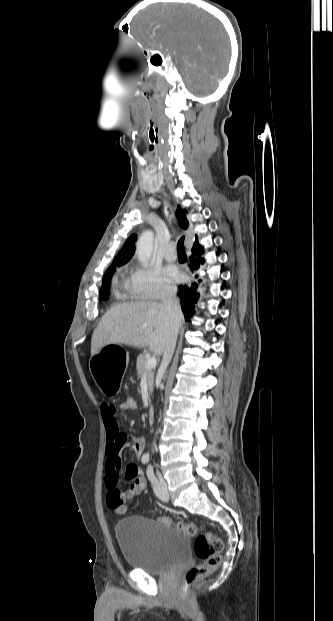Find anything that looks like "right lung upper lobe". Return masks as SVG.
<instances>
[{"instance_id": "obj_1", "label": "right lung upper lobe", "mask_w": 333, "mask_h": 621, "mask_svg": "<svg viewBox=\"0 0 333 621\" xmlns=\"http://www.w3.org/2000/svg\"><path fill=\"white\" fill-rule=\"evenodd\" d=\"M185 212L186 210L181 209V207L178 205L177 210H176V217L179 221L180 226L184 229H186L189 226V222L187 220ZM135 241H136V235L133 234L127 239L123 248L121 249L119 254L115 257V259L113 260V264L110 267H114L116 265L118 266L123 265L132 258L133 253H134V242ZM194 245H198L197 239Z\"/></svg>"}]
</instances>
